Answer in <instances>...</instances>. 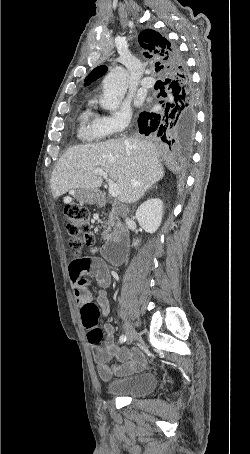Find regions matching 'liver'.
<instances>
[{"label":"liver","mask_w":250,"mask_h":454,"mask_svg":"<svg viewBox=\"0 0 250 454\" xmlns=\"http://www.w3.org/2000/svg\"><path fill=\"white\" fill-rule=\"evenodd\" d=\"M156 146L138 138H119L70 147L58 160L50 179L54 198L70 190L98 189L102 169L119 188L118 200L134 203L164 177Z\"/></svg>","instance_id":"obj_1"}]
</instances>
